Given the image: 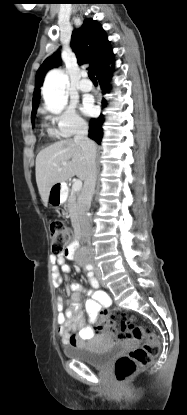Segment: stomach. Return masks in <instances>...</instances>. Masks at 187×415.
<instances>
[{"mask_svg": "<svg viewBox=\"0 0 187 415\" xmlns=\"http://www.w3.org/2000/svg\"><path fill=\"white\" fill-rule=\"evenodd\" d=\"M65 190V184L64 183H57L53 185L49 192V198L48 201L51 206L58 207L63 203L62 197L63 192Z\"/></svg>", "mask_w": 187, "mask_h": 415, "instance_id": "stomach-1", "label": "stomach"}]
</instances>
